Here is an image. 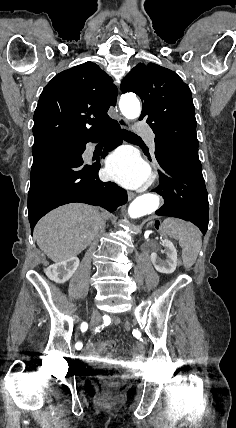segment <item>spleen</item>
<instances>
[{
    "instance_id": "obj_1",
    "label": "spleen",
    "mask_w": 236,
    "mask_h": 428,
    "mask_svg": "<svg viewBox=\"0 0 236 428\" xmlns=\"http://www.w3.org/2000/svg\"><path fill=\"white\" fill-rule=\"evenodd\" d=\"M162 232L178 240L182 248V260L185 268H191L197 260L202 240L201 234L190 222H183L178 218H167L161 228Z\"/></svg>"
}]
</instances>
